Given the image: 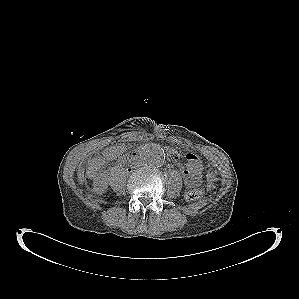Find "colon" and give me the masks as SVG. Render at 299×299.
Segmentation results:
<instances>
[{
  "label": "colon",
  "mask_w": 299,
  "mask_h": 299,
  "mask_svg": "<svg viewBox=\"0 0 299 299\" xmlns=\"http://www.w3.org/2000/svg\"><path fill=\"white\" fill-rule=\"evenodd\" d=\"M186 167L196 177L201 178L204 172V165L201 159L193 153H187L185 155ZM203 196V191L198 188L190 189L186 192L185 198L188 201L199 200Z\"/></svg>",
  "instance_id": "colon-1"
}]
</instances>
